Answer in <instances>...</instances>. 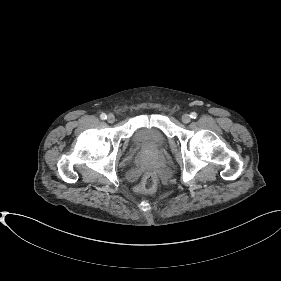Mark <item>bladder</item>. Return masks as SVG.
<instances>
[{
	"mask_svg": "<svg viewBox=\"0 0 281 281\" xmlns=\"http://www.w3.org/2000/svg\"><path fill=\"white\" fill-rule=\"evenodd\" d=\"M132 142L138 151L148 155L160 153L166 145V139L159 130L147 127L137 128L132 136Z\"/></svg>",
	"mask_w": 281,
	"mask_h": 281,
	"instance_id": "1",
	"label": "bladder"
}]
</instances>
